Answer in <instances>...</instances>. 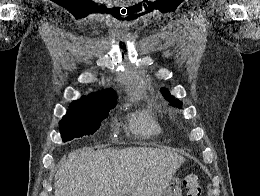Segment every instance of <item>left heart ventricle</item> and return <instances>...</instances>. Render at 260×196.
Segmentation results:
<instances>
[{
    "label": "left heart ventricle",
    "mask_w": 260,
    "mask_h": 196,
    "mask_svg": "<svg viewBox=\"0 0 260 196\" xmlns=\"http://www.w3.org/2000/svg\"><path fill=\"white\" fill-rule=\"evenodd\" d=\"M116 190H88V192H115Z\"/></svg>",
    "instance_id": "left-heart-ventricle-1"
}]
</instances>
